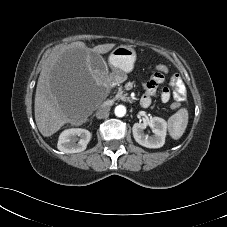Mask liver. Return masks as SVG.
<instances>
[{
    "label": "liver",
    "mask_w": 227,
    "mask_h": 227,
    "mask_svg": "<svg viewBox=\"0 0 227 227\" xmlns=\"http://www.w3.org/2000/svg\"><path fill=\"white\" fill-rule=\"evenodd\" d=\"M114 46L108 43L88 48L77 41L47 58L37 82L34 105L35 121L43 136L49 137L71 122L72 98H79L84 85L98 82L99 73L91 66L90 54H105Z\"/></svg>",
    "instance_id": "obj_1"
}]
</instances>
